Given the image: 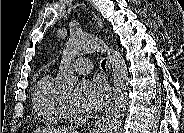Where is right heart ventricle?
<instances>
[{"label": "right heart ventricle", "mask_w": 184, "mask_h": 133, "mask_svg": "<svg viewBox=\"0 0 184 133\" xmlns=\"http://www.w3.org/2000/svg\"><path fill=\"white\" fill-rule=\"evenodd\" d=\"M34 108L44 121L60 123L64 115V97L54 84L51 73H45L36 84L33 95Z\"/></svg>", "instance_id": "obj_1"}]
</instances>
